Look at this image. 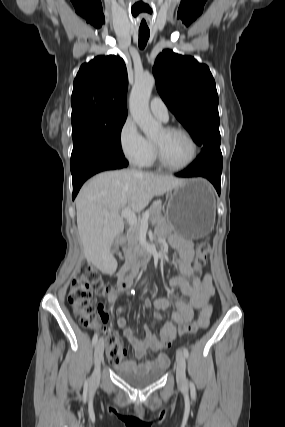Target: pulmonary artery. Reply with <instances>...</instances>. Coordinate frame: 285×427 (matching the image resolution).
Wrapping results in <instances>:
<instances>
[{"instance_id":"pulmonary-artery-1","label":"pulmonary artery","mask_w":285,"mask_h":427,"mask_svg":"<svg viewBox=\"0 0 285 427\" xmlns=\"http://www.w3.org/2000/svg\"><path fill=\"white\" fill-rule=\"evenodd\" d=\"M150 110L154 116L163 122L168 120V109L160 97H153L150 101Z\"/></svg>"}]
</instances>
